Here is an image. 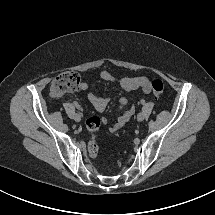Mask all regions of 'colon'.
I'll use <instances>...</instances> for the list:
<instances>
[{"instance_id":"5ec220e1","label":"colon","mask_w":215,"mask_h":215,"mask_svg":"<svg viewBox=\"0 0 215 215\" xmlns=\"http://www.w3.org/2000/svg\"><path fill=\"white\" fill-rule=\"evenodd\" d=\"M81 89V78L74 71H65L58 74L51 85V95L61 97L68 93H73ZM150 89L155 97H159L164 92V84L161 80H154L150 84ZM101 120L98 117H91L86 121V128L94 133L100 127ZM88 154L91 158H96L98 154V145L94 138L89 141Z\"/></svg>"}]
</instances>
